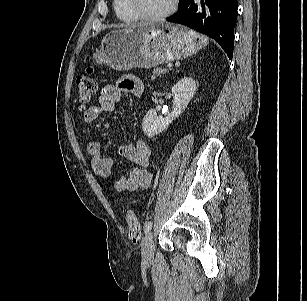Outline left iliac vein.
<instances>
[{
  "label": "left iliac vein",
  "instance_id": "4c4485c4",
  "mask_svg": "<svg viewBox=\"0 0 307 301\" xmlns=\"http://www.w3.org/2000/svg\"><path fill=\"white\" fill-rule=\"evenodd\" d=\"M154 257V240L153 233L149 232L142 241V258L143 261L149 263Z\"/></svg>",
  "mask_w": 307,
  "mask_h": 301
}]
</instances>
